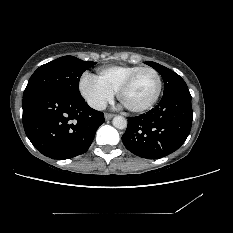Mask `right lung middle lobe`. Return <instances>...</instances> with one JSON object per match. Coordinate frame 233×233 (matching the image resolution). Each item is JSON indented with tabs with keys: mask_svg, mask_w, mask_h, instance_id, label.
Segmentation results:
<instances>
[{
	"mask_svg": "<svg viewBox=\"0 0 233 233\" xmlns=\"http://www.w3.org/2000/svg\"><path fill=\"white\" fill-rule=\"evenodd\" d=\"M94 64L95 62L83 61L73 56H63L46 63L30 77L23 97L46 90L80 95V77Z\"/></svg>",
	"mask_w": 233,
	"mask_h": 233,
	"instance_id": "obj_1",
	"label": "right lung middle lobe"
}]
</instances>
